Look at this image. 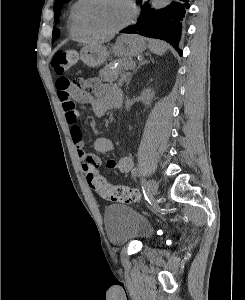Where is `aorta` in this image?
<instances>
[{
	"mask_svg": "<svg viewBox=\"0 0 245 300\" xmlns=\"http://www.w3.org/2000/svg\"><path fill=\"white\" fill-rule=\"evenodd\" d=\"M171 0H151V6L154 9H161L167 6Z\"/></svg>",
	"mask_w": 245,
	"mask_h": 300,
	"instance_id": "1",
	"label": "aorta"
}]
</instances>
